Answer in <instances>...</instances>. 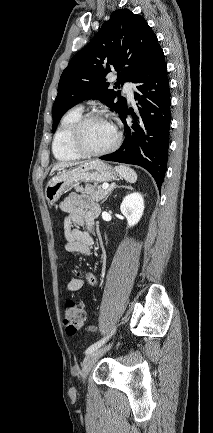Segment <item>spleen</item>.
I'll return each instance as SVG.
<instances>
[{"label":"spleen","instance_id":"obj_1","mask_svg":"<svg viewBox=\"0 0 213 433\" xmlns=\"http://www.w3.org/2000/svg\"><path fill=\"white\" fill-rule=\"evenodd\" d=\"M115 170L119 175L129 183H135L137 180L136 172L125 165L116 166Z\"/></svg>","mask_w":213,"mask_h":433}]
</instances>
